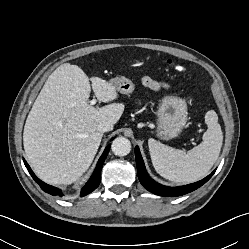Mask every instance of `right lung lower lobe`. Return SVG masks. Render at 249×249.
<instances>
[{
    "mask_svg": "<svg viewBox=\"0 0 249 249\" xmlns=\"http://www.w3.org/2000/svg\"><path fill=\"white\" fill-rule=\"evenodd\" d=\"M110 149V145H108L103 154L101 155L100 159L98 160L97 166L92 174V176L90 177L89 181L85 184V186L82 188L81 193H80V197H83L89 193H91L93 190H95L101 180V169L103 166V163L107 157V154L109 152ZM24 164L27 168V170L29 171V173L31 174L32 178L35 180V182H37L39 184V186L41 187V189L53 196H63V193L60 189L50 186L44 182H42L40 179H38L35 174L33 173V171L31 170V168L29 167V165L27 164V162L23 159Z\"/></svg>",
    "mask_w": 249,
    "mask_h": 249,
    "instance_id": "right-lung-lower-lobe-1",
    "label": "right lung lower lobe"
}]
</instances>
